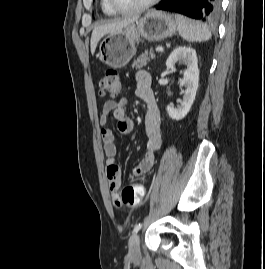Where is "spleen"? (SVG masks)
<instances>
[{"mask_svg": "<svg viewBox=\"0 0 265 269\" xmlns=\"http://www.w3.org/2000/svg\"><path fill=\"white\" fill-rule=\"evenodd\" d=\"M177 29L180 36L189 42H204L211 38V32L207 25L187 18L181 14H175Z\"/></svg>", "mask_w": 265, "mask_h": 269, "instance_id": "obj_1", "label": "spleen"}]
</instances>
